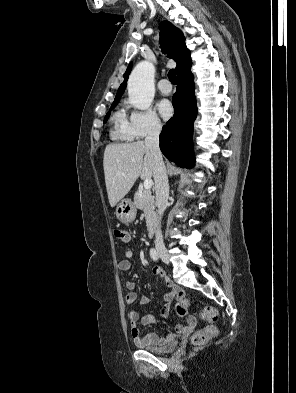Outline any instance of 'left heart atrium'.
Returning a JSON list of instances; mask_svg holds the SVG:
<instances>
[{"mask_svg":"<svg viewBox=\"0 0 296 393\" xmlns=\"http://www.w3.org/2000/svg\"><path fill=\"white\" fill-rule=\"evenodd\" d=\"M157 108L164 119H169L173 115V106L168 100L160 101Z\"/></svg>","mask_w":296,"mask_h":393,"instance_id":"39dd6f15","label":"left heart atrium"}]
</instances>
